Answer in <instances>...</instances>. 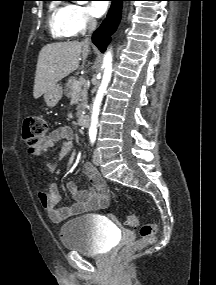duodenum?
Here are the masks:
<instances>
[{
    "instance_id": "duodenum-1",
    "label": "duodenum",
    "mask_w": 216,
    "mask_h": 285,
    "mask_svg": "<svg viewBox=\"0 0 216 285\" xmlns=\"http://www.w3.org/2000/svg\"><path fill=\"white\" fill-rule=\"evenodd\" d=\"M89 123V118L86 114H80L78 116V124L81 126V127H86Z\"/></svg>"
}]
</instances>
